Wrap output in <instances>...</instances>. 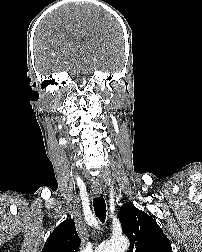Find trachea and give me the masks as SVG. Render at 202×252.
<instances>
[{
	"mask_svg": "<svg viewBox=\"0 0 202 252\" xmlns=\"http://www.w3.org/2000/svg\"><path fill=\"white\" fill-rule=\"evenodd\" d=\"M94 211L98 219L103 223L106 219V203L103 196L93 199Z\"/></svg>",
	"mask_w": 202,
	"mask_h": 252,
	"instance_id": "trachea-1",
	"label": "trachea"
}]
</instances>
